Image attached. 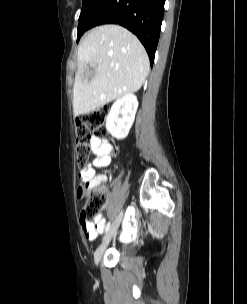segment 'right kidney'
Segmentation results:
<instances>
[{
    "mask_svg": "<svg viewBox=\"0 0 247 304\" xmlns=\"http://www.w3.org/2000/svg\"><path fill=\"white\" fill-rule=\"evenodd\" d=\"M137 108L138 100L134 94H126L117 99L106 118L107 131L118 140L126 138L134 122Z\"/></svg>",
    "mask_w": 247,
    "mask_h": 304,
    "instance_id": "ca27d5eb",
    "label": "right kidney"
}]
</instances>
